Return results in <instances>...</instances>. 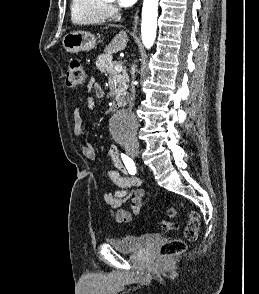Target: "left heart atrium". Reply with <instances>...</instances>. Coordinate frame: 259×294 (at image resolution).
<instances>
[{
    "instance_id": "1",
    "label": "left heart atrium",
    "mask_w": 259,
    "mask_h": 294,
    "mask_svg": "<svg viewBox=\"0 0 259 294\" xmlns=\"http://www.w3.org/2000/svg\"><path fill=\"white\" fill-rule=\"evenodd\" d=\"M137 0H118V3L121 6L129 7L132 6Z\"/></svg>"
}]
</instances>
